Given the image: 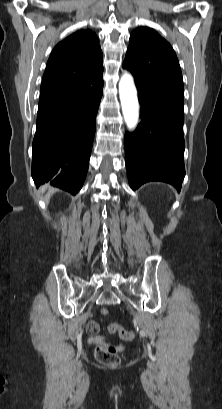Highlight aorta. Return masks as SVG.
I'll use <instances>...</instances> for the list:
<instances>
[{"instance_id":"obj_1","label":"aorta","mask_w":222,"mask_h":409,"mask_svg":"<svg viewBox=\"0 0 222 409\" xmlns=\"http://www.w3.org/2000/svg\"><path fill=\"white\" fill-rule=\"evenodd\" d=\"M119 96L126 125L134 130L139 119V103L133 77L124 74L119 82Z\"/></svg>"}]
</instances>
